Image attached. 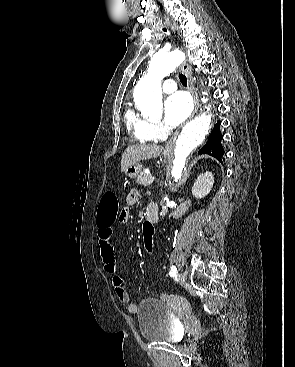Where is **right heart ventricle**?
Segmentation results:
<instances>
[{"mask_svg":"<svg viewBox=\"0 0 295 367\" xmlns=\"http://www.w3.org/2000/svg\"><path fill=\"white\" fill-rule=\"evenodd\" d=\"M124 121L130 136L138 143H150L156 138L151 131V123L140 116L132 107L124 114Z\"/></svg>","mask_w":295,"mask_h":367,"instance_id":"1","label":"right heart ventricle"}]
</instances>
